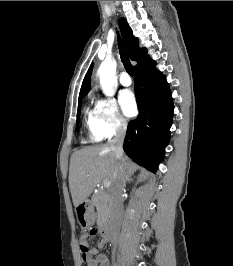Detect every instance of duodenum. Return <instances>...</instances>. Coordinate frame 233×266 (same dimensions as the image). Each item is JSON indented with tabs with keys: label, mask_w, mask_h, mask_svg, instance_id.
<instances>
[{
	"label": "duodenum",
	"mask_w": 233,
	"mask_h": 266,
	"mask_svg": "<svg viewBox=\"0 0 233 266\" xmlns=\"http://www.w3.org/2000/svg\"><path fill=\"white\" fill-rule=\"evenodd\" d=\"M100 232L103 236V239L108 242L112 239V232L111 229L109 228V226L107 224H101L100 226Z\"/></svg>",
	"instance_id": "1"
}]
</instances>
